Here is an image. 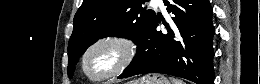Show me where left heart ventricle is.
Masks as SVG:
<instances>
[{"label":"left heart ventricle","mask_w":260,"mask_h":84,"mask_svg":"<svg viewBox=\"0 0 260 84\" xmlns=\"http://www.w3.org/2000/svg\"><path fill=\"white\" fill-rule=\"evenodd\" d=\"M116 59L117 53L112 47L102 46L90 56L87 67L92 75L99 76L111 70Z\"/></svg>","instance_id":"left-heart-ventricle-1"}]
</instances>
